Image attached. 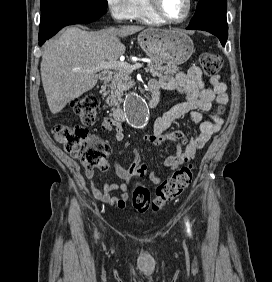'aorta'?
Masks as SVG:
<instances>
[{
  "mask_svg": "<svg viewBox=\"0 0 272 282\" xmlns=\"http://www.w3.org/2000/svg\"><path fill=\"white\" fill-rule=\"evenodd\" d=\"M126 113L129 123L137 128L145 127L150 116L145 100L136 92L127 97Z\"/></svg>",
  "mask_w": 272,
  "mask_h": 282,
  "instance_id": "762f6f07",
  "label": "aorta"
}]
</instances>
